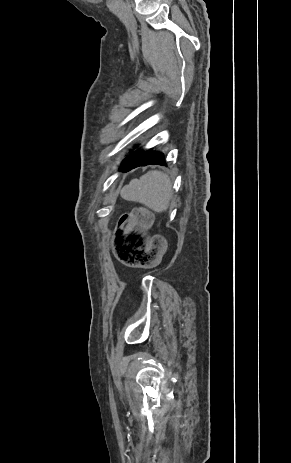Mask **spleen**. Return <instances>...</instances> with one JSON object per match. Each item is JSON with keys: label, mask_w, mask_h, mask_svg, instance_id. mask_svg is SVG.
I'll return each instance as SVG.
<instances>
[{"label": "spleen", "mask_w": 291, "mask_h": 463, "mask_svg": "<svg viewBox=\"0 0 291 463\" xmlns=\"http://www.w3.org/2000/svg\"><path fill=\"white\" fill-rule=\"evenodd\" d=\"M128 201L144 204L154 212H165L172 197V182L161 171H148L139 179H132L120 192Z\"/></svg>", "instance_id": "1"}]
</instances>
